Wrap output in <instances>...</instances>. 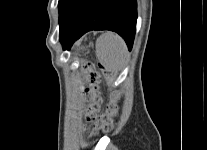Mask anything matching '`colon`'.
Segmentation results:
<instances>
[{"mask_svg": "<svg viewBox=\"0 0 207 150\" xmlns=\"http://www.w3.org/2000/svg\"><path fill=\"white\" fill-rule=\"evenodd\" d=\"M103 70L107 78L112 79L114 77V72L111 69L104 67ZM82 71L87 78V86L85 88V92L90 96V103L86 108L87 121L95 132L109 131L112 129L114 123V106L111 105L105 114L97 117L100 101V98L98 96L99 76L94 70V66L90 62H84L82 64Z\"/></svg>", "mask_w": 207, "mask_h": 150, "instance_id": "colon-1", "label": "colon"}]
</instances>
